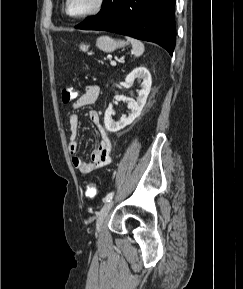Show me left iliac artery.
Masks as SVG:
<instances>
[{
  "label": "left iliac artery",
  "instance_id": "left-iliac-artery-1",
  "mask_svg": "<svg viewBox=\"0 0 243 289\" xmlns=\"http://www.w3.org/2000/svg\"><path fill=\"white\" fill-rule=\"evenodd\" d=\"M114 196V192H110L106 195V197L103 199V202L106 203V202H109L110 200H112Z\"/></svg>",
  "mask_w": 243,
  "mask_h": 289
}]
</instances>
